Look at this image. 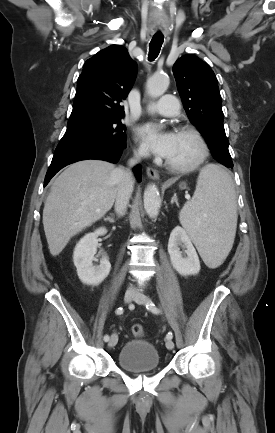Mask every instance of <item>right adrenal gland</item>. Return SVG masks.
<instances>
[{"instance_id": "obj_1", "label": "right adrenal gland", "mask_w": 275, "mask_h": 433, "mask_svg": "<svg viewBox=\"0 0 275 433\" xmlns=\"http://www.w3.org/2000/svg\"><path fill=\"white\" fill-rule=\"evenodd\" d=\"M104 220L105 221H109L110 223H114L115 222V220H114V218L112 217H107V218H104Z\"/></svg>"}]
</instances>
